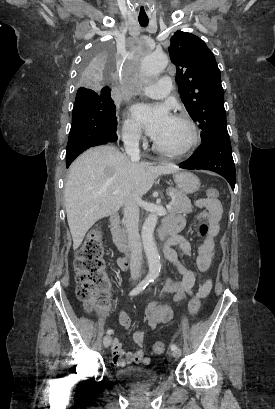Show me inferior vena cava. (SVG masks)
I'll return each instance as SVG.
<instances>
[{
	"mask_svg": "<svg viewBox=\"0 0 275 409\" xmlns=\"http://www.w3.org/2000/svg\"><path fill=\"white\" fill-rule=\"evenodd\" d=\"M138 138L139 132H136V130H127V132H123L122 134L125 152H127L130 158H140ZM140 200L141 198L140 196H137V194L129 196V198L125 200L123 209L128 241L131 249L130 271L132 279H138V277H140V269L142 265V245L138 231Z\"/></svg>",
	"mask_w": 275,
	"mask_h": 409,
	"instance_id": "obj_1",
	"label": "inferior vena cava"
}]
</instances>
